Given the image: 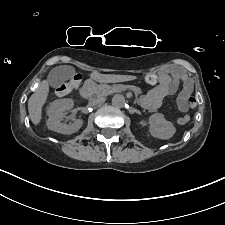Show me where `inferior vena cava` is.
<instances>
[{
	"label": "inferior vena cava",
	"mask_w": 225,
	"mask_h": 225,
	"mask_svg": "<svg viewBox=\"0 0 225 225\" xmlns=\"http://www.w3.org/2000/svg\"><path fill=\"white\" fill-rule=\"evenodd\" d=\"M101 101H103V97H97L95 99H92V101L90 102L91 105H95L100 103Z\"/></svg>",
	"instance_id": "1"
}]
</instances>
